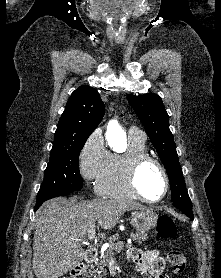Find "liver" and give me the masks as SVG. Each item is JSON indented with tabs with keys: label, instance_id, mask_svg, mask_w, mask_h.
Returning a JSON list of instances; mask_svg holds the SVG:
<instances>
[{
	"label": "liver",
	"instance_id": "liver-1",
	"mask_svg": "<svg viewBox=\"0 0 221 278\" xmlns=\"http://www.w3.org/2000/svg\"><path fill=\"white\" fill-rule=\"evenodd\" d=\"M147 209L125 199L55 198L38 212L33 244L32 266L38 278H59L79 265L84 258L80 238L97 221L104 230H111L129 210Z\"/></svg>",
	"mask_w": 221,
	"mask_h": 278
}]
</instances>
